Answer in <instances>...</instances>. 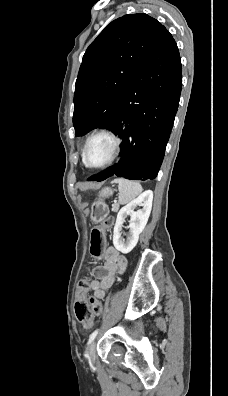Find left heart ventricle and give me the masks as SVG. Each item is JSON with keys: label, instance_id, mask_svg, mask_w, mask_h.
Returning a JSON list of instances; mask_svg holds the SVG:
<instances>
[{"label": "left heart ventricle", "instance_id": "left-heart-ventricle-1", "mask_svg": "<svg viewBox=\"0 0 228 396\" xmlns=\"http://www.w3.org/2000/svg\"><path fill=\"white\" fill-rule=\"evenodd\" d=\"M112 151V141L106 136L93 138L87 149V159L90 164L98 165L104 163Z\"/></svg>", "mask_w": 228, "mask_h": 396}]
</instances>
